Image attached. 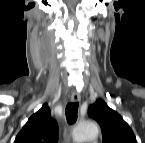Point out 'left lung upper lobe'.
Here are the masks:
<instances>
[{
	"mask_svg": "<svg viewBox=\"0 0 145 143\" xmlns=\"http://www.w3.org/2000/svg\"><path fill=\"white\" fill-rule=\"evenodd\" d=\"M89 116L96 119L101 126L102 143H137L136 137L128 124L103 100H97L90 107Z\"/></svg>",
	"mask_w": 145,
	"mask_h": 143,
	"instance_id": "obj_1",
	"label": "left lung upper lobe"
}]
</instances>
